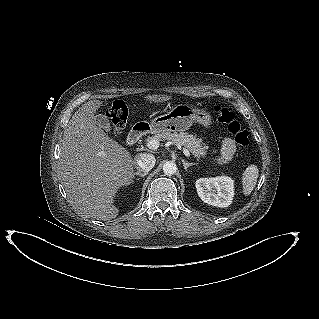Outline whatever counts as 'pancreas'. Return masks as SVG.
Segmentation results:
<instances>
[{
	"instance_id": "1",
	"label": "pancreas",
	"mask_w": 319,
	"mask_h": 319,
	"mask_svg": "<svg viewBox=\"0 0 319 319\" xmlns=\"http://www.w3.org/2000/svg\"><path fill=\"white\" fill-rule=\"evenodd\" d=\"M151 139H162L171 141L172 143L184 146L189 149V151L197 158H204L207 155V149L208 146L203 144V141L201 138H198L192 134H188L186 132H180V133H170V132H164L161 134H155L153 137L148 138L147 142H149Z\"/></svg>"
}]
</instances>
